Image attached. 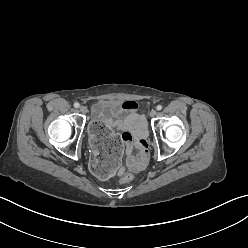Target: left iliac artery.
<instances>
[{
    "instance_id": "1",
    "label": "left iliac artery",
    "mask_w": 248,
    "mask_h": 248,
    "mask_svg": "<svg viewBox=\"0 0 248 248\" xmlns=\"http://www.w3.org/2000/svg\"><path fill=\"white\" fill-rule=\"evenodd\" d=\"M156 109L157 110H161L162 109V106L161 105H157Z\"/></svg>"
}]
</instances>
